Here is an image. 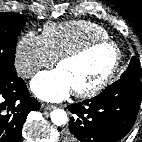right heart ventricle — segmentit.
<instances>
[{"label":"right heart ventricle","instance_id":"obj_1","mask_svg":"<svg viewBox=\"0 0 142 142\" xmlns=\"http://www.w3.org/2000/svg\"><path fill=\"white\" fill-rule=\"evenodd\" d=\"M50 55L56 60L60 55L93 39H108V32L99 24L87 20L48 23L41 35Z\"/></svg>","mask_w":142,"mask_h":142}]
</instances>
